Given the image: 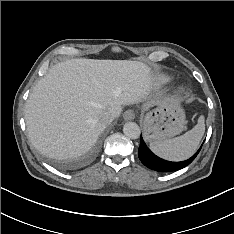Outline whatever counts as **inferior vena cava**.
<instances>
[{"label":"inferior vena cava","mask_w":234,"mask_h":234,"mask_svg":"<svg viewBox=\"0 0 234 234\" xmlns=\"http://www.w3.org/2000/svg\"><path fill=\"white\" fill-rule=\"evenodd\" d=\"M118 116H119V112H104L100 116V122L104 125H107Z\"/></svg>","instance_id":"obj_1"}]
</instances>
